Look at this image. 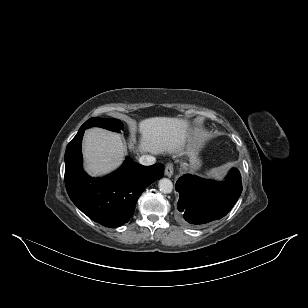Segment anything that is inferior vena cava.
Wrapping results in <instances>:
<instances>
[{"mask_svg": "<svg viewBox=\"0 0 308 308\" xmlns=\"http://www.w3.org/2000/svg\"><path fill=\"white\" fill-rule=\"evenodd\" d=\"M156 159L151 155H143L139 158V163L145 166L153 165Z\"/></svg>", "mask_w": 308, "mask_h": 308, "instance_id": "1", "label": "inferior vena cava"}]
</instances>
